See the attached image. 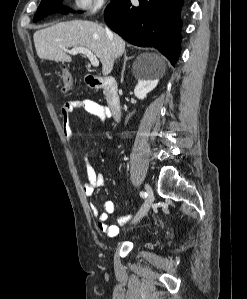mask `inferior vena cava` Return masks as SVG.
Segmentation results:
<instances>
[{
	"label": "inferior vena cava",
	"mask_w": 247,
	"mask_h": 299,
	"mask_svg": "<svg viewBox=\"0 0 247 299\" xmlns=\"http://www.w3.org/2000/svg\"><path fill=\"white\" fill-rule=\"evenodd\" d=\"M106 32L109 36H112V32L108 28H106Z\"/></svg>",
	"instance_id": "602c4592"
}]
</instances>
